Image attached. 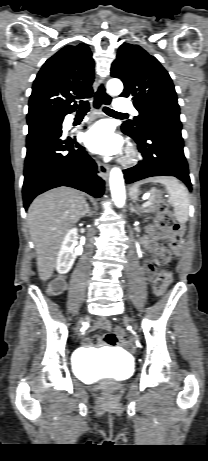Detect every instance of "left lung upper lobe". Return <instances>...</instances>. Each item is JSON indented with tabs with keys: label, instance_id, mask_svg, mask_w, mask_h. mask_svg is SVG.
Returning <instances> with one entry per match:
<instances>
[{
	"label": "left lung upper lobe",
	"instance_id": "1",
	"mask_svg": "<svg viewBox=\"0 0 208 461\" xmlns=\"http://www.w3.org/2000/svg\"><path fill=\"white\" fill-rule=\"evenodd\" d=\"M111 76L122 80L120 96L130 97L139 115L122 125V131L138 134L152 121H180V109L172 79L164 67L139 45L124 43L112 63Z\"/></svg>",
	"mask_w": 208,
	"mask_h": 461
}]
</instances>
